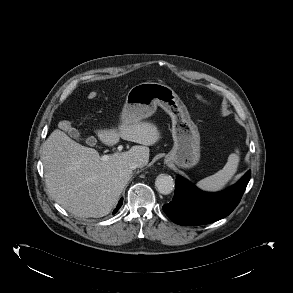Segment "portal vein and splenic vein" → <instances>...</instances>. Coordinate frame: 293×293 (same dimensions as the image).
<instances>
[{"instance_id":"portal-vein-and-splenic-vein-1","label":"portal vein and splenic vein","mask_w":293,"mask_h":293,"mask_svg":"<svg viewBox=\"0 0 293 293\" xmlns=\"http://www.w3.org/2000/svg\"><path fill=\"white\" fill-rule=\"evenodd\" d=\"M122 149H123V146L122 145H119L118 146V151H122ZM110 156L111 155H104V156L101 157V159L102 160H108Z\"/></svg>"}]
</instances>
